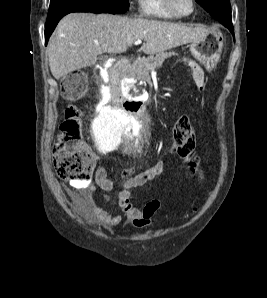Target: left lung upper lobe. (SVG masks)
<instances>
[{"label":"left lung upper lobe","instance_id":"5c2ea615","mask_svg":"<svg viewBox=\"0 0 267 298\" xmlns=\"http://www.w3.org/2000/svg\"><path fill=\"white\" fill-rule=\"evenodd\" d=\"M196 1L218 21H227L231 18V7L229 0Z\"/></svg>","mask_w":267,"mask_h":298}]
</instances>
